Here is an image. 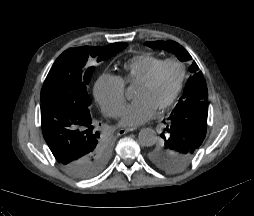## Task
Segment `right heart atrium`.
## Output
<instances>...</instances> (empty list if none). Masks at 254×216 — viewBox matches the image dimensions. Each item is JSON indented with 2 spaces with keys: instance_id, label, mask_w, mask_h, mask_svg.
I'll return each instance as SVG.
<instances>
[{
  "instance_id": "right-heart-atrium-1",
  "label": "right heart atrium",
  "mask_w": 254,
  "mask_h": 216,
  "mask_svg": "<svg viewBox=\"0 0 254 216\" xmlns=\"http://www.w3.org/2000/svg\"><path fill=\"white\" fill-rule=\"evenodd\" d=\"M94 96L104 114L115 118L125 105V85L120 77L104 73L94 85Z\"/></svg>"
}]
</instances>
